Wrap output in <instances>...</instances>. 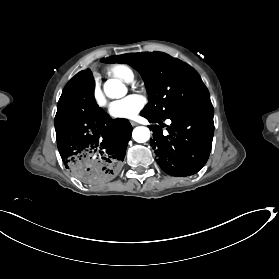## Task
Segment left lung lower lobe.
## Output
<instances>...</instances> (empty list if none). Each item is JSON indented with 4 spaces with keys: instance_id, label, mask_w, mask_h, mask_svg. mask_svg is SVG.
<instances>
[{
    "instance_id": "0a47b994",
    "label": "left lung lower lobe",
    "mask_w": 279,
    "mask_h": 279,
    "mask_svg": "<svg viewBox=\"0 0 279 279\" xmlns=\"http://www.w3.org/2000/svg\"><path fill=\"white\" fill-rule=\"evenodd\" d=\"M213 106L201 104L189 111L168 117L172 124L167 126L168 135L158 125L149 126L153 130L150 145L156 154L161 169L172 176H188L198 172L210 155L214 133ZM151 123L158 120L142 114Z\"/></svg>"
}]
</instances>
